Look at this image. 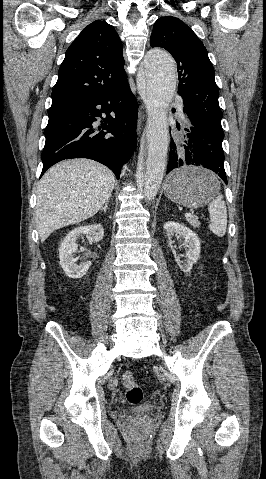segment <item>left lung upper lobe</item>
Masks as SVG:
<instances>
[{"instance_id": "1", "label": "left lung upper lobe", "mask_w": 266, "mask_h": 479, "mask_svg": "<svg viewBox=\"0 0 266 479\" xmlns=\"http://www.w3.org/2000/svg\"><path fill=\"white\" fill-rule=\"evenodd\" d=\"M152 47H161L171 53L177 63L178 94L184 101V112L194 121L209 143L214 154L224 156L219 107V91L215 72L207 50L192 29L172 16L159 18L150 38Z\"/></svg>"}]
</instances>
